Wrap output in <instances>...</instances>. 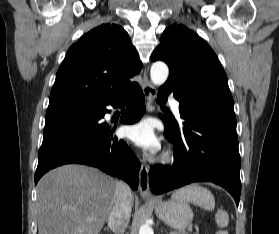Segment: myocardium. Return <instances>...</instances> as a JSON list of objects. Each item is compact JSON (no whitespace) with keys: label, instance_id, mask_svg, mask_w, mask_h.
Instances as JSON below:
<instances>
[{"label":"myocardium","instance_id":"obj_1","mask_svg":"<svg viewBox=\"0 0 279 234\" xmlns=\"http://www.w3.org/2000/svg\"><path fill=\"white\" fill-rule=\"evenodd\" d=\"M172 159V155L170 153H165L163 156H162V162H169L171 161Z\"/></svg>","mask_w":279,"mask_h":234}]
</instances>
